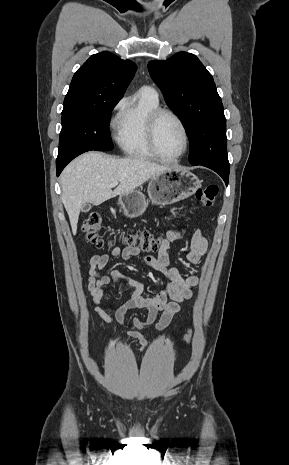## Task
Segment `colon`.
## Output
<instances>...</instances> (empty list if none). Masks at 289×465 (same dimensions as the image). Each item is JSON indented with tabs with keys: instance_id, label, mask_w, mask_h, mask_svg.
<instances>
[{
	"instance_id": "obj_1",
	"label": "colon",
	"mask_w": 289,
	"mask_h": 465,
	"mask_svg": "<svg viewBox=\"0 0 289 465\" xmlns=\"http://www.w3.org/2000/svg\"><path fill=\"white\" fill-rule=\"evenodd\" d=\"M217 194L218 187L216 185H208L197 190L195 197L204 207H211L215 202ZM101 225V215L99 213H91L82 226L85 239L98 248L104 245V241L99 235ZM161 242L162 239L155 237L148 230H136L125 237V243L128 247L136 248L142 252H153L157 250ZM191 335V331L189 330L184 336V340L187 344L191 340Z\"/></svg>"
}]
</instances>
